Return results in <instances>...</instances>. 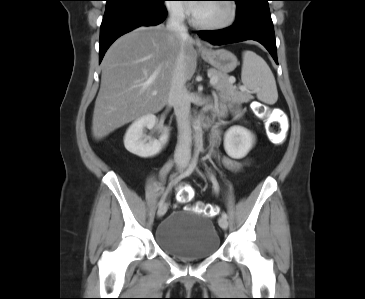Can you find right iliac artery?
I'll use <instances>...</instances> for the list:
<instances>
[{"label":"right iliac artery","instance_id":"right-iliac-artery-1","mask_svg":"<svg viewBox=\"0 0 365 299\" xmlns=\"http://www.w3.org/2000/svg\"><path fill=\"white\" fill-rule=\"evenodd\" d=\"M197 159H198V151H195L194 156H193V158H192V161L190 162V164H189L188 168H187L184 172H182L179 176H177V177L174 179V181H172V182L169 184V186H168V190H171V189H172V187H173V185H174L175 183H177L178 181H180L181 179H183V178L188 177L189 175H191V173L194 171V169H195V167H196ZM164 201H165V198H162V199L159 201V203H158L159 207H160V206L164 203Z\"/></svg>","mask_w":365,"mask_h":299}]
</instances>
